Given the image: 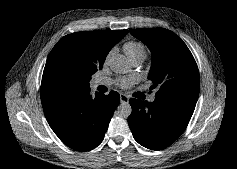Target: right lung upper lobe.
<instances>
[{"instance_id": "obj_1", "label": "right lung upper lobe", "mask_w": 237, "mask_h": 169, "mask_svg": "<svg viewBox=\"0 0 237 169\" xmlns=\"http://www.w3.org/2000/svg\"><path fill=\"white\" fill-rule=\"evenodd\" d=\"M127 33L128 30L86 31L61 38L50 52L44 68L40 90L42 105L88 87V71L102 68L108 52ZM67 61L88 69L76 67L62 72L61 65Z\"/></svg>"}]
</instances>
